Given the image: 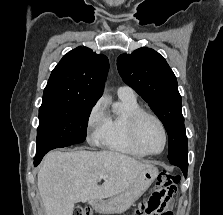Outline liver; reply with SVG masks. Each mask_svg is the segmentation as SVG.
I'll return each instance as SVG.
<instances>
[{"mask_svg": "<svg viewBox=\"0 0 223 215\" xmlns=\"http://www.w3.org/2000/svg\"><path fill=\"white\" fill-rule=\"evenodd\" d=\"M152 163L118 151H49L38 171V189L47 215H73L77 201L114 197ZM106 175V177H99ZM99 179H104L98 185Z\"/></svg>", "mask_w": 223, "mask_h": 215, "instance_id": "6515ba94", "label": "liver"}]
</instances>
